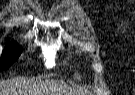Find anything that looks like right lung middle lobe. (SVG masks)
Masks as SVG:
<instances>
[{"label":"right lung middle lobe","mask_w":135,"mask_h":95,"mask_svg":"<svg viewBox=\"0 0 135 95\" xmlns=\"http://www.w3.org/2000/svg\"><path fill=\"white\" fill-rule=\"evenodd\" d=\"M20 54L21 51L18 44L12 43L8 45L3 50L2 57L0 59V71L8 69V67L17 60Z\"/></svg>","instance_id":"right-lung-middle-lobe-1"}]
</instances>
